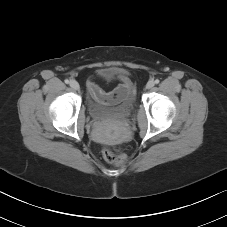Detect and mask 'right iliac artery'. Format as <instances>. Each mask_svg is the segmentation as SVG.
<instances>
[{"instance_id":"obj_1","label":"right iliac artery","mask_w":227,"mask_h":227,"mask_svg":"<svg viewBox=\"0 0 227 227\" xmlns=\"http://www.w3.org/2000/svg\"><path fill=\"white\" fill-rule=\"evenodd\" d=\"M65 83H66V84H69V83H70V81H69L68 79H66V80H65Z\"/></svg>"}]
</instances>
